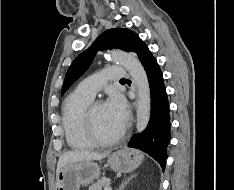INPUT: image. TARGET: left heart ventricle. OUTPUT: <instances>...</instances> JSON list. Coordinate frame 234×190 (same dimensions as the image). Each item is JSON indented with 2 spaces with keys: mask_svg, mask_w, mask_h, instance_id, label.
Wrapping results in <instances>:
<instances>
[{
  "mask_svg": "<svg viewBox=\"0 0 234 190\" xmlns=\"http://www.w3.org/2000/svg\"><path fill=\"white\" fill-rule=\"evenodd\" d=\"M94 122L98 134L106 138L115 135L123 127L112 117L105 104L95 109Z\"/></svg>",
  "mask_w": 234,
  "mask_h": 190,
  "instance_id": "obj_1",
  "label": "left heart ventricle"
}]
</instances>
